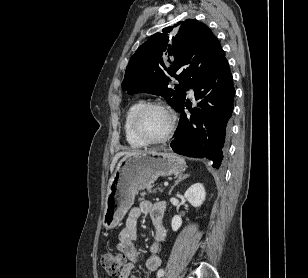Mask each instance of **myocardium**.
<instances>
[{"label": "myocardium", "instance_id": "f54148a6", "mask_svg": "<svg viewBox=\"0 0 308 278\" xmlns=\"http://www.w3.org/2000/svg\"><path fill=\"white\" fill-rule=\"evenodd\" d=\"M150 109H161L165 111L169 116V127L167 132L159 138H152L148 136L142 129L140 121L142 116ZM131 126L133 129V132L136 134V136L141 139L146 144H161L170 139L172 136L174 129H175V119L172 114V112L169 110L167 106L160 102H148L142 104L132 115L131 118Z\"/></svg>", "mask_w": 308, "mask_h": 278}]
</instances>
